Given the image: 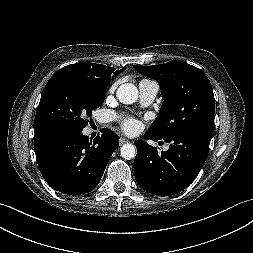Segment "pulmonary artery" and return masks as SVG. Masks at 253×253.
Wrapping results in <instances>:
<instances>
[{"label":"pulmonary artery","instance_id":"pulmonary-artery-1","mask_svg":"<svg viewBox=\"0 0 253 253\" xmlns=\"http://www.w3.org/2000/svg\"><path fill=\"white\" fill-rule=\"evenodd\" d=\"M159 91V85L156 81L142 80L139 83L140 102L143 106L150 105Z\"/></svg>","mask_w":253,"mask_h":253}]
</instances>
